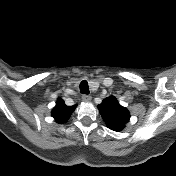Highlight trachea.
<instances>
[{"label": "trachea", "mask_w": 176, "mask_h": 176, "mask_svg": "<svg viewBox=\"0 0 176 176\" xmlns=\"http://www.w3.org/2000/svg\"><path fill=\"white\" fill-rule=\"evenodd\" d=\"M80 92L82 94H89V87H88V82L86 80H83L81 83H80Z\"/></svg>", "instance_id": "obj_1"}]
</instances>
